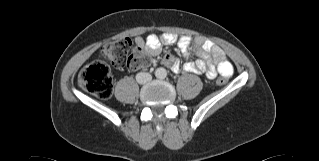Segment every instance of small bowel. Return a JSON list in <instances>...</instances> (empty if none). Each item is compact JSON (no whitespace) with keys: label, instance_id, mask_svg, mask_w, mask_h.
Wrapping results in <instances>:
<instances>
[{"label":"small bowel","instance_id":"small-bowel-1","mask_svg":"<svg viewBox=\"0 0 319 161\" xmlns=\"http://www.w3.org/2000/svg\"><path fill=\"white\" fill-rule=\"evenodd\" d=\"M136 43L144 47L153 56L161 53L163 44L171 45L176 43L186 57L190 55V50L193 47L199 60L195 64H185L183 67L185 71L194 73L206 70L205 75L208 79H213L217 73L225 77H230L233 74V67L225 59L222 49L201 39H196L193 43L189 36L177 37L174 34L165 33L163 35L150 34L145 38L138 37L136 38ZM210 53L215 60V65L208 66L206 69ZM165 64L175 73L181 70L179 62L172 56L166 59Z\"/></svg>","mask_w":319,"mask_h":161}]
</instances>
